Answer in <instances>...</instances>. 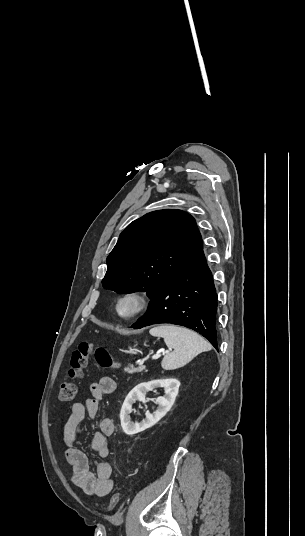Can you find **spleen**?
I'll use <instances>...</instances> for the list:
<instances>
[{"label": "spleen", "instance_id": "3e777b00", "mask_svg": "<svg viewBox=\"0 0 305 536\" xmlns=\"http://www.w3.org/2000/svg\"><path fill=\"white\" fill-rule=\"evenodd\" d=\"M149 334L157 336V338H164L167 348L174 350V352H169L164 356L161 362L163 370L183 368L201 352L211 350V344L206 342L202 336L192 332V330L172 326V324H157L156 328H152Z\"/></svg>", "mask_w": 305, "mask_h": 536}]
</instances>
